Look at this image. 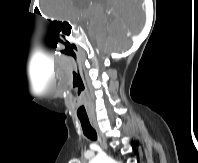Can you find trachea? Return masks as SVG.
Instances as JSON below:
<instances>
[{"label": "trachea", "mask_w": 198, "mask_h": 163, "mask_svg": "<svg viewBox=\"0 0 198 163\" xmlns=\"http://www.w3.org/2000/svg\"><path fill=\"white\" fill-rule=\"evenodd\" d=\"M84 135L90 140H97V133L91 126L88 117L79 116Z\"/></svg>", "instance_id": "1"}]
</instances>
